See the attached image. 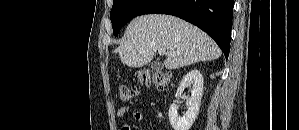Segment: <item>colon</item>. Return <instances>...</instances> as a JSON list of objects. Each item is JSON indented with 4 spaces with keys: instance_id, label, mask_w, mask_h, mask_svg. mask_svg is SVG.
<instances>
[{
    "instance_id": "1",
    "label": "colon",
    "mask_w": 299,
    "mask_h": 130,
    "mask_svg": "<svg viewBox=\"0 0 299 130\" xmlns=\"http://www.w3.org/2000/svg\"><path fill=\"white\" fill-rule=\"evenodd\" d=\"M171 77V74L165 71L142 69L136 72V78L139 84L158 89L167 88L171 83ZM118 93L121 102L127 103L131 100L132 93L127 86L119 87Z\"/></svg>"
}]
</instances>
